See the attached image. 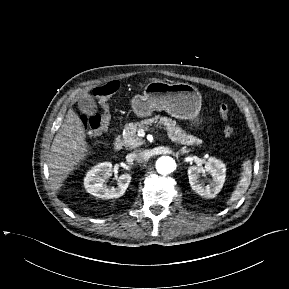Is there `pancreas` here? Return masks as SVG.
Segmentation results:
<instances>
[{"mask_svg": "<svg viewBox=\"0 0 289 289\" xmlns=\"http://www.w3.org/2000/svg\"><path fill=\"white\" fill-rule=\"evenodd\" d=\"M153 123H157L159 127L163 125L164 129L167 131L168 137L175 143L187 146L200 145L202 143V140L199 138L187 134L181 127L176 125V122L171 118L156 115L155 117L144 119L140 122L125 125L123 133L124 146L129 149H134L141 146L144 141L142 138L138 137L137 131L139 129H144Z\"/></svg>", "mask_w": 289, "mask_h": 289, "instance_id": "obj_1", "label": "pancreas"}]
</instances>
